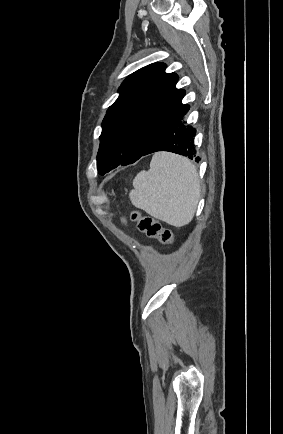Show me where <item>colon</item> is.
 <instances>
[{
  "label": "colon",
  "instance_id": "obj_1",
  "mask_svg": "<svg viewBox=\"0 0 283 434\" xmlns=\"http://www.w3.org/2000/svg\"><path fill=\"white\" fill-rule=\"evenodd\" d=\"M133 221L137 223L139 231L149 238H156L163 244H171L174 241L173 232L163 228L162 225L148 215H143L141 211L135 210L131 214Z\"/></svg>",
  "mask_w": 283,
  "mask_h": 434
}]
</instances>
